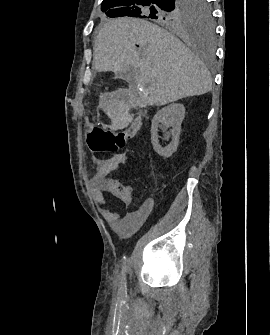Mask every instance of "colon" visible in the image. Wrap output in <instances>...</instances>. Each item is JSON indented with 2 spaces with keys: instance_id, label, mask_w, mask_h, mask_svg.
Returning <instances> with one entry per match:
<instances>
[{
  "instance_id": "5ec220e1",
  "label": "colon",
  "mask_w": 270,
  "mask_h": 335,
  "mask_svg": "<svg viewBox=\"0 0 270 335\" xmlns=\"http://www.w3.org/2000/svg\"><path fill=\"white\" fill-rule=\"evenodd\" d=\"M134 134L131 127L115 132L93 127L87 133V145L91 153L95 155L113 153L124 147Z\"/></svg>"
}]
</instances>
